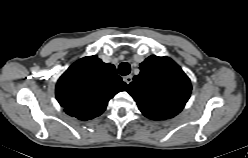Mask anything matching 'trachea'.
I'll list each match as a JSON object with an SVG mask.
<instances>
[{
    "instance_id": "obj_1",
    "label": "trachea",
    "mask_w": 248,
    "mask_h": 158,
    "mask_svg": "<svg viewBox=\"0 0 248 158\" xmlns=\"http://www.w3.org/2000/svg\"><path fill=\"white\" fill-rule=\"evenodd\" d=\"M130 71H131L130 64H128L127 62L121 63L118 67V72L122 76L128 75Z\"/></svg>"
}]
</instances>
